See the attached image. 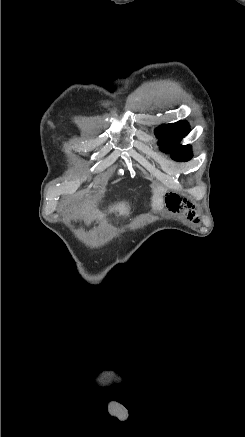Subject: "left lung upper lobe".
Returning <instances> with one entry per match:
<instances>
[{
    "mask_svg": "<svg viewBox=\"0 0 245 437\" xmlns=\"http://www.w3.org/2000/svg\"><path fill=\"white\" fill-rule=\"evenodd\" d=\"M190 132L189 125L186 121H179L173 124H163L155 129V135L159 139L160 149L170 153L176 161H188L192 158L191 146L180 145L182 140Z\"/></svg>",
    "mask_w": 245,
    "mask_h": 437,
    "instance_id": "1",
    "label": "left lung upper lobe"
}]
</instances>
